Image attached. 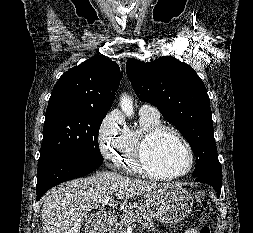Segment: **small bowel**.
<instances>
[{"label":"small bowel","instance_id":"c3829d8e","mask_svg":"<svg viewBox=\"0 0 253 233\" xmlns=\"http://www.w3.org/2000/svg\"><path fill=\"white\" fill-rule=\"evenodd\" d=\"M185 233H198V232L193 228H189L185 231Z\"/></svg>","mask_w":253,"mask_h":233}]
</instances>
